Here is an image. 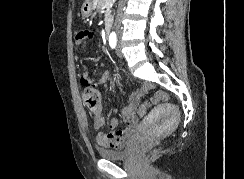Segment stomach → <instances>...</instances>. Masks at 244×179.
<instances>
[{"label": "stomach", "mask_w": 244, "mask_h": 179, "mask_svg": "<svg viewBox=\"0 0 244 179\" xmlns=\"http://www.w3.org/2000/svg\"><path fill=\"white\" fill-rule=\"evenodd\" d=\"M92 10H94L93 2H91V0H85L81 8L83 18H89V16L92 14Z\"/></svg>", "instance_id": "obj_1"}]
</instances>
